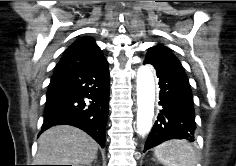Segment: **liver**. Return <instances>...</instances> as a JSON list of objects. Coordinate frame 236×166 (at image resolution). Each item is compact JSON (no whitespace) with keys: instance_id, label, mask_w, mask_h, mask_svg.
Masks as SVG:
<instances>
[{"instance_id":"1","label":"liver","mask_w":236,"mask_h":166,"mask_svg":"<svg viewBox=\"0 0 236 166\" xmlns=\"http://www.w3.org/2000/svg\"><path fill=\"white\" fill-rule=\"evenodd\" d=\"M98 144L84 131L58 125L42 133L35 157L37 165H90L96 158Z\"/></svg>"}]
</instances>
